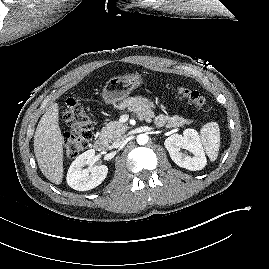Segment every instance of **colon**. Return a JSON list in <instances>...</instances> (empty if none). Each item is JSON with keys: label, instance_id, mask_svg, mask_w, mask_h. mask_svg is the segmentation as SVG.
<instances>
[{"label": "colon", "instance_id": "colon-1", "mask_svg": "<svg viewBox=\"0 0 269 269\" xmlns=\"http://www.w3.org/2000/svg\"><path fill=\"white\" fill-rule=\"evenodd\" d=\"M180 97L188 101L194 107L208 111L209 105L205 98L195 90L179 88ZM63 120L70 128L65 134L64 150L68 158L77 157L87 146L92 137V120L77 98H68L62 111Z\"/></svg>", "mask_w": 269, "mask_h": 269}]
</instances>
